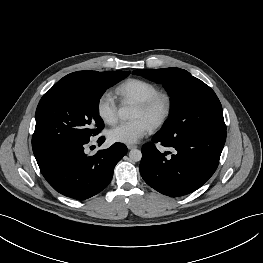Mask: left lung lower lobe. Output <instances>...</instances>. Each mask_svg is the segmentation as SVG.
Here are the masks:
<instances>
[{"instance_id":"left-lung-lower-lobe-1","label":"left lung lower lobe","mask_w":263,"mask_h":263,"mask_svg":"<svg viewBox=\"0 0 263 263\" xmlns=\"http://www.w3.org/2000/svg\"><path fill=\"white\" fill-rule=\"evenodd\" d=\"M226 140V131L166 136L157 133L152 141L171 147L160 153L153 143L142 147L140 173L158 192L178 197L200 188L215 172Z\"/></svg>"}]
</instances>
